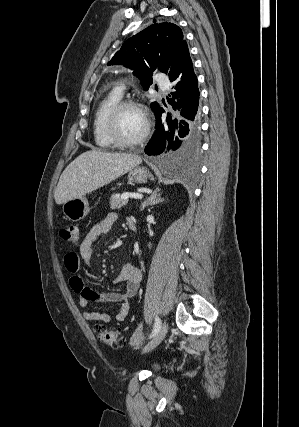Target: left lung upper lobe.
Segmentation results:
<instances>
[{
  "instance_id": "obj_1",
  "label": "left lung upper lobe",
  "mask_w": 299,
  "mask_h": 427,
  "mask_svg": "<svg viewBox=\"0 0 299 427\" xmlns=\"http://www.w3.org/2000/svg\"><path fill=\"white\" fill-rule=\"evenodd\" d=\"M183 42L182 30L173 23L153 24L124 42L108 65H124L139 76L144 90L152 84V72L168 73ZM158 104H151L154 110Z\"/></svg>"
}]
</instances>
